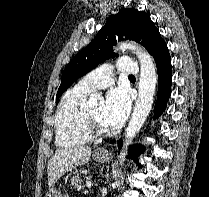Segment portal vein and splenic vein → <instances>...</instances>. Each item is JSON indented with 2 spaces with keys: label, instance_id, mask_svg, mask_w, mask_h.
<instances>
[{
  "label": "portal vein and splenic vein",
  "instance_id": "obj_1",
  "mask_svg": "<svg viewBox=\"0 0 209 197\" xmlns=\"http://www.w3.org/2000/svg\"><path fill=\"white\" fill-rule=\"evenodd\" d=\"M92 185H93V183H92V182H90V181H88V182L86 183L87 188H91V187H92Z\"/></svg>",
  "mask_w": 209,
  "mask_h": 197
}]
</instances>
